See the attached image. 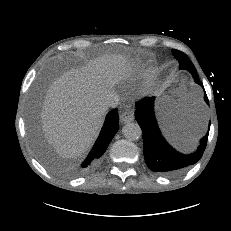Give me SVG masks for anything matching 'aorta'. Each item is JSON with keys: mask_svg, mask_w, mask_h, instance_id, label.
<instances>
[{"mask_svg": "<svg viewBox=\"0 0 231 231\" xmlns=\"http://www.w3.org/2000/svg\"><path fill=\"white\" fill-rule=\"evenodd\" d=\"M123 135L127 140H138L142 135L141 127L137 123H128L123 128Z\"/></svg>", "mask_w": 231, "mask_h": 231, "instance_id": "762f6f07", "label": "aorta"}]
</instances>
